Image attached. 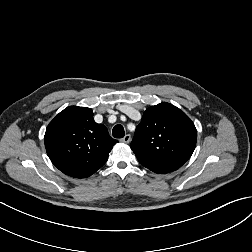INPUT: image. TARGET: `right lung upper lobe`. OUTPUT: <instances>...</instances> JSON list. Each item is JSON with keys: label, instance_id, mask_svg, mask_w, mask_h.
<instances>
[{"label": "right lung upper lobe", "instance_id": "obj_1", "mask_svg": "<svg viewBox=\"0 0 252 252\" xmlns=\"http://www.w3.org/2000/svg\"><path fill=\"white\" fill-rule=\"evenodd\" d=\"M47 154L64 174L85 178L102 167L118 142L93 119L87 107L70 106L48 125L44 136Z\"/></svg>", "mask_w": 252, "mask_h": 252}]
</instances>
